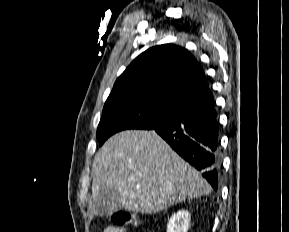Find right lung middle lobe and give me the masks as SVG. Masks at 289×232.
Returning a JSON list of instances; mask_svg holds the SVG:
<instances>
[{"label":"right lung middle lobe","mask_w":289,"mask_h":232,"mask_svg":"<svg viewBox=\"0 0 289 232\" xmlns=\"http://www.w3.org/2000/svg\"><path fill=\"white\" fill-rule=\"evenodd\" d=\"M179 111L143 97L108 98L97 129V139L101 146L108 137L121 130L154 129L175 119Z\"/></svg>","instance_id":"1"}]
</instances>
